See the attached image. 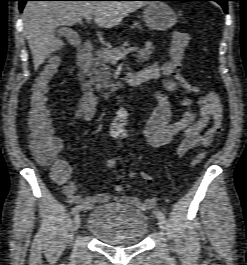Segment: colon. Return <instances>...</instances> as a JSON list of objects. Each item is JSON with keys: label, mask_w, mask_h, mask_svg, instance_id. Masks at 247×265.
<instances>
[{"label": "colon", "mask_w": 247, "mask_h": 265, "mask_svg": "<svg viewBox=\"0 0 247 265\" xmlns=\"http://www.w3.org/2000/svg\"><path fill=\"white\" fill-rule=\"evenodd\" d=\"M190 41L191 38L188 33L180 31L175 32L172 37L167 61L171 64L173 68V77L181 89L194 95H202L204 92L191 85L180 74L185 51L190 45ZM59 65V58L53 57L34 80L30 88L27 115L29 148L40 164L51 166L54 178H64L69 171L68 164L57 158L62 143L53 133L46 107L49 84L56 75ZM222 131V124L219 123L215 127V133L220 134ZM205 156L206 152H198L192 160V165L199 164ZM106 165L109 169L115 170L117 168L116 158H109L106 161Z\"/></svg>", "instance_id": "colon-1"}]
</instances>
